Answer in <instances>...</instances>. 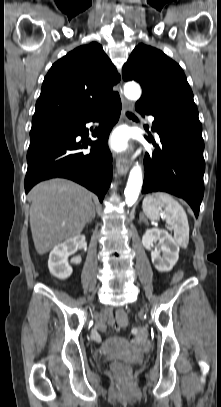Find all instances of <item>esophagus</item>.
<instances>
[{
    "instance_id": "1",
    "label": "esophagus",
    "mask_w": 221,
    "mask_h": 407,
    "mask_svg": "<svg viewBox=\"0 0 221 407\" xmlns=\"http://www.w3.org/2000/svg\"><path fill=\"white\" fill-rule=\"evenodd\" d=\"M120 94L122 96L121 90H120ZM122 105H123L124 111L132 109V104L123 97H122ZM123 117H124V112H123ZM129 167H130V163H129L128 156L122 154L116 158V169L120 175H125L128 172Z\"/></svg>"
}]
</instances>
